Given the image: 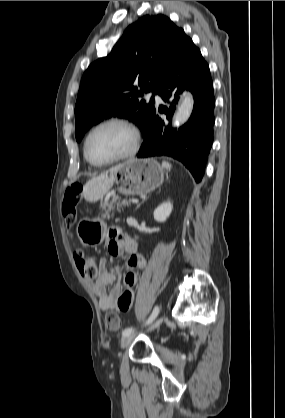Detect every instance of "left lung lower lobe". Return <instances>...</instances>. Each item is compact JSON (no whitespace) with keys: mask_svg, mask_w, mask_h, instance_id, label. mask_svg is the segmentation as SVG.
<instances>
[{"mask_svg":"<svg viewBox=\"0 0 285 418\" xmlns=\"http://www.w3.org/2000/svg\"><path fill=\"white\" fill-rule=\"evenodd\" d=\"M185 87L193 94V111L184 126L179 130L172 129L170 116ZM158 95L165 102H171L169 109L159 108V112L167 115L169 124L154 114L137 157H173L181 161L199 182L213 143L215 98L209 66L186 35L162 77Z\"/></svg>","mask_w":285,"mask_h":418,"instance_id":"obj_1","label":"left lung lower lobe"}]
</instances>
